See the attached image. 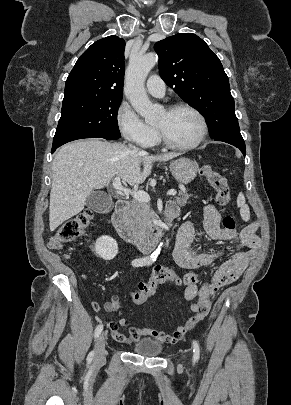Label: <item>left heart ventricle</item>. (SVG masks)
<instances>
[{
    "label": "left heart ventricle",
    "mask_w": 291,
    "mask_h": 405,
    "mask_svg": "<svg viewBox=\"0 0 291 405\" xmlns=\"http://www.w3.org/2000/svg\"><path fill=\"white\" fill-rule=\"evenodd\" d=\"M155 126L161 128L170 141L182 145L195 141L201 130L199 119L186 109L162 111Z\"/></svg>",
    "instance_id": "b2bd125f"
}]
</instances>
